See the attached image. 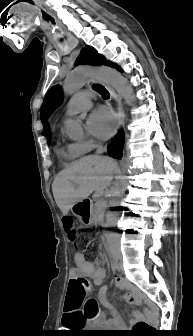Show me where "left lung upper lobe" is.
Segmentation results:
<instances>
[{
	"mask_svg": "<svg viewBox=\"0 0 193 336\" xmlns=\"http://www.w3.org/2000/svg\"><path fill=\"white\" fill-rule=\"evenodd\" d=\"M78 63H87L90 65H109L111 66L112 63L107 62L105 58L98 54L94 48L91 46H86L85 48L82 49L81 55L79 57V60L77 61ZM61 89L60 87H52L42 104L41 107V120L42 122L45 121V119L51 114V112L59 105L60 100H61Z\"/></svg>",
	"mask_w": 193,
	"mask_h": 336,
	"instance_id": "obj_1",
	"label": "left lung upper lobe"
}]
</instances>
